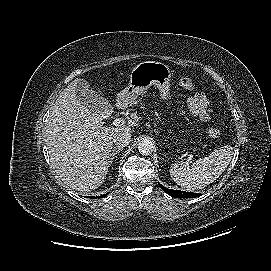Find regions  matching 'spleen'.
Wrapping results in <instances>:
<instances>
[{
	"label": "spleen",
	"mask_w": 271,
	"mask_h": 271,
	"mask_svg": "<svg viewBox=\"0 0 271 271\" xmlns=\"http://www.w3.org/2000/svg\"><path fill=\"white\" fill-rule=\"evenodd\" d=\"M229 145L214 150L209 156L200 158L190 167L172 164L170 175L181 187L188 191L202 189L213 183L227 168L233 155Z\"/></svg>",
	"instance_id": "spleen-1"
}]
</instances>
